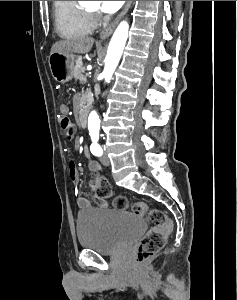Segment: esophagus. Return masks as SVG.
<instances>
[{
  "mask_svg": "<svg viewBox=\"0 0 237 300\" xmlns=\"http://www.w3.org/2000/svg\"><path fill=\"white\" fill-rule=\"evenodd\" d=\"M132 1H126L125 6L123 8V10L121 11V13L117 16V18L111 23L109 24V26H107L101 33H100V38L101 39H105L108 38L112 32L114 31L115 27L117 26L118 22L120 21V19L127 13L130 5H131Z\"/></svg>",
  "mask_w": 237,
  "mask_h": 300,
  "instance_id": "1",
  "label": "esophagus"
}]
</instances>
